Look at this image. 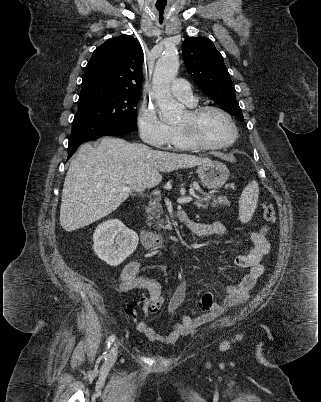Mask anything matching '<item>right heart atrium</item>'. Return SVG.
<instances>
[{"mask_svg": "<svg viewBox=\"0 0 321 402\" xmlns=\"http://www.w3.org/2000/svg\"><path fill=\"white\" fill-rule=\"evenodd\" d=\"M137 127L141 139L154 147L163 148L170 144L172 128L163 122L156 110L148 104H143L137 115Z\"/></svg>", "mask_w": 321, "mask_h": 402, "instance_id": "1", "label": "right heart atrium"}]
</instances>
